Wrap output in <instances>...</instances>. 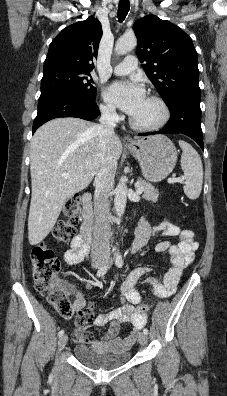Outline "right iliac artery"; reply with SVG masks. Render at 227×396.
Here are the masks:
<instances>
[{
  "mask_svg": "<svg viewBox=\"0 0 227 396\" xmlns=\"http://www.w3.org/2000/svg\"><path fill=\"white\" fill-rule=\"evenodd\" d=\"M108 268H109V264L104 265L103 267H101V268L98 270V272H97V276H98V277H101V276H103L104 274H106ZM63 334H64V330H61V331H59L58 336L61 337V336H63Z\"/></svg>",
  "mask_w": 227,
  "mask_h": 396,
  "instance_id": "1",
  "label": "right iliac artery"
}]
</instances>
